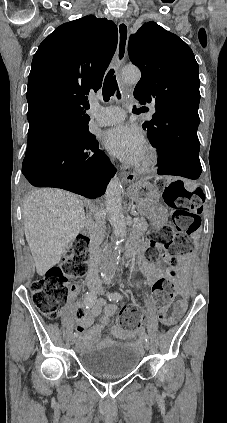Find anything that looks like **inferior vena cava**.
Wrapping results in <instances>:
<instances>
[{
  "label": "inferior vena cava",
  "mask_w": 227,
  "mask_h": 423,
  "mask_svg": "<svg viewBox=\"0 0 227 423\" xmlns=\"http://www.w3.org/2000/svg\"><path fill=\"white\" fill-rule=\"evenodd\" d=\"M94 219H92V215H87V223L88 225H92L89 243L90 259L87 271L88 281H99V247L105 237L104 217H102V215H94Z\"/></svg>",
  "instance_id": "obj_1"
}]
</instances>
